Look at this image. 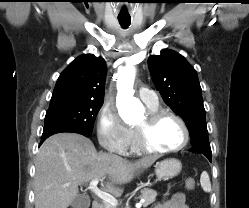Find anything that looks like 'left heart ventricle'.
Returning <instances> with one entry per match:
<instances>
[{
    "label": "left heart ventricle",
    "mask_w": 249,
    "mask_h": 208,
    "mask_svg": "<svg viewBox=\"0 0 249 208\" xmlns=\"http://www.w3.org/2000/svg\"><path fill=\"white\" fill-rule=\"evenodd\" d=\"M145 122L142 118L136 126ZM183 130L180 124L172 118H164L148 133L149 144L157 149H171L180 145L183 141Z\"/></svg>",
    "instance_id": "obj_1"
}]
</instances>
